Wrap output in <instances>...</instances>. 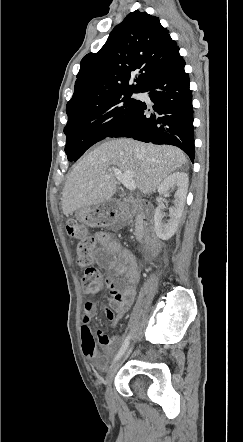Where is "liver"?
I'll use <instances>...</instances> for the list:
<instances>
[{
  "label": "liver",
  "mask_w": 243,
  "mask_h": 442,
  "mask_svg": "<svg viewBox=\"0 0 243 442\" xmlns=\"http://www.w3.org/2000/svg\"><path fill=\"white\" fill-rule=\"evenodd\" d=\"M185 163L187 157L177 147L133 139L104 142L86 154L71 171L62 193L63 213L69 216L80 208L110 200L117 184L110 168L134 171L136 187L144 194H151Z\"/></svg>",
  "instance_id": "1"
}]
</instances>
